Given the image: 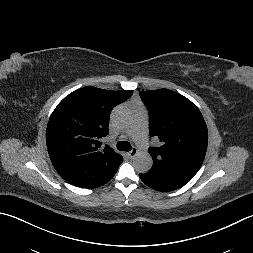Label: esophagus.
Instances as JSON below:
<instances>
[{"label":"esophagus","mask_w":253,"mask_h":253,"mask_svg":"<svg viewBox=\"0 0 253 253\" xmlns=\"http://www.w3.org/2000/svg\"><path fill=\"white\" fill-rule=\"evenodd\" d=\"M138 153V149L136 147L132 148V150L128 153L129 157H134Z\"/></svg>","instance_id":"34e87169"}]
</instances>
